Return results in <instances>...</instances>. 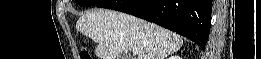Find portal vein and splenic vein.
Here are the masks:
<instances>
[{"label": "portal vein and splenic vein", "mask_w": 261, "mask_h": 59, "mask_svg": "<svg viewBox=\"0 0 261 59\" xmlns=\"http://www.w3.org/2000/svg\"><path fill=\"white\" fill-rule=\"evenodd\" d=\"M132 52H133V54H138V49L137 48H133Z\"/></svg>", "instance_id": "obj_1"}]
</instances>
